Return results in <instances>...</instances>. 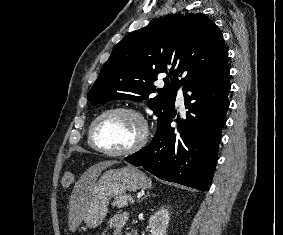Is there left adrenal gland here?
Wrapping results in <instances>:
<instances>
[{"label": "left adrenal gland", "mask_w": 283, "mask_h": 235, "mask_svg": "<svg viewBox=\"0 0 283 235\" xmlns=\"http://www.w3.org/2000/svg\"><path fill=\"white\" fill-rule=\"evenodd\" d=\"M147 196H150L149 192L147 193V195H146L145 197H147ZM145 197H144V198H145Z\"/></svg>", "instance_id": "left-adrenal-gland-1"}]
</instances>
